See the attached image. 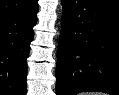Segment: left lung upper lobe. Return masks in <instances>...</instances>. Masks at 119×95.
<instances>
[{
    "label": "left lung upper lobe",
    "mask_w": 119,
    "mask_h": 95,
    "mask_svg": "<svg viewBox=\"0 0 119 95\" xmlns=\"http://www.w3.org/2000/svg\"><path fill=\"white\" fill-rule=\"evenodd\" d=\"M102 1L109 2V3H112V4H116V5H119V0H102Z\"/></svg>",
    "instance_id": "5c2ea615"
}]
</instances>
